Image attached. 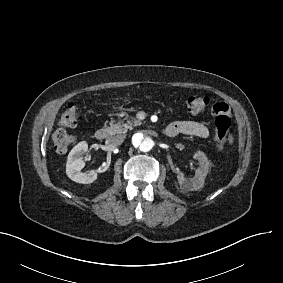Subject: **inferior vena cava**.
<instances>
[{
  "label": "inferior vena cava",
  "instance_id": "obj_1",
  "mask_svg": "<svg viewBox=\"0 0 283 283\" xmlns=\"http://www.w3.org/2000/svg\"><path fill=\"white\" fill-rule=\"evenodd\" d=\"M124 141V136L122 135H116V136H110L106 139V145L107 146H112V147H117L121 145Z\"/></svg>",
  "mask_w": 283,
  "mask_h": 283
}]
</instances>
